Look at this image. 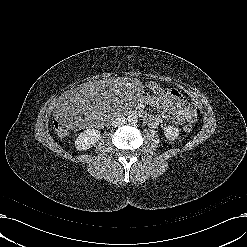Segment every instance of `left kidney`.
Here are the masks:
<instances>
[{
	"mask_svg": "<svg viewBox=\"0 0 247 247\" xmlns=\"http://www.w3.org/2000/svg\"><path fill=\"white\" fill-rule=\"evenodd\" d=\"M164 134H165V137L168 139V140H176L179 136V129L176 128L175 126H167L166 128H164Z\"/></svg>",
	"mask_w": 247,
	"mask_h": 247,
	"instance_id": "5707ae66",
	"label": "left kidney"
}]
</instances>
